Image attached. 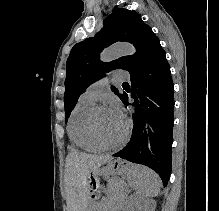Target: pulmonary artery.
Instances as JSON below:
<instances>
[{"mask_svg":"<svg viewBox=\"0 0 219 211\" xmlns=\"http://www.w3.org/2000/svg\"><path fill=\"white\" fill-rule=\"evenodd\" d=\"M114 74H123V69H114ZM113 80H130V75H113ZM105 80H99L86 88L80 99L95 103L99 94L104 90Z\"/></svg>","mask_w":219,"mask_h":211,"instance_id":"pulmonary-artery-1","label":"pulmonary artery"}]
</instances>
